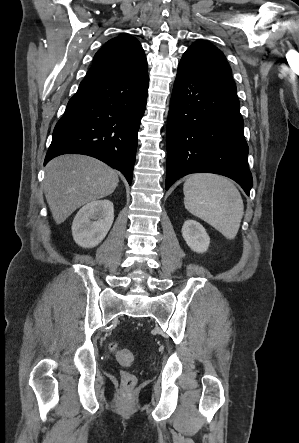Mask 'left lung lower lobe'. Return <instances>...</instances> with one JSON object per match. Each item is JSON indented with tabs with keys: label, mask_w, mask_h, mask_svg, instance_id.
Masks as SVG:
<instances>
[{
	"label": "left lung lower lobe",
	"mask_w": 299,
	"mask_h": 443,
	"mask_svg": "<svg viewBox=\"0 0 299 443\" xmlns=\"http://www.w3.org/2000/svg\"><path fill=\"white\" fill-rule=\"evenodd\" d=\"M236 89L178 67L167 123L166 190L191 173H215L249 195L252 175Z\"/></svg>",
	"instance_id": "1"
}]
</instances>
